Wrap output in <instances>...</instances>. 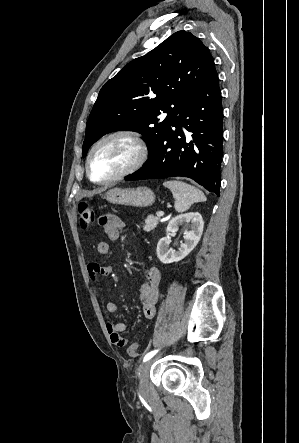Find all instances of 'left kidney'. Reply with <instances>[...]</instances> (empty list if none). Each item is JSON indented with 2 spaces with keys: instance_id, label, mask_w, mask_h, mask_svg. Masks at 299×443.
Returning a JSON list of instances; mask_svg holds the SVG:
<instances>
[{
  "instance_id": "obj_1",
  "label": "left kidney",
  "mask_w": 299,
  "mask_h": 443,
  "mask_svg": "<svg viewBox=\"0 0 299 443\" xmlns=\"http://www.w3.org/2000/svg\"><path fill=\"white\" fill-rule=\"evenodd\" d=\"M188 223H191L190 230L185 231L184 242L181 243L178 250L169 247L171 242L169 236L159 240L156 251L162 263L178 262L184 259L197 246L204 228L203 218L198 212H190L174 217L167 226V234L176 232L179 226Z\"/></svg>"
}]
</instances>
